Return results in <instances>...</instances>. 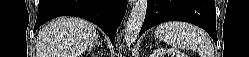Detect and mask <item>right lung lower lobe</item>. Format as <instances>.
<instances>
[{
  "label": "right lung lower lobe",
  "mask_w": 249,
  "mask_h": 57,
  "mask_svg": "<svg viewBox=\"0 0 249 57\" xmlns=\"http://www.w3.org/2000/svg\"><path fill=\"white\" fill-rule=\"evenodd\" d=\"M126 8L127 0H40L34 31L52 18L76 16L98 25L113 43Z\"/></svg>",
  "instance_id": "98d812e1"
}]
</instances>
